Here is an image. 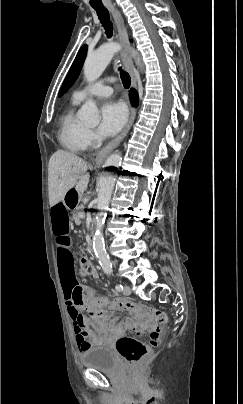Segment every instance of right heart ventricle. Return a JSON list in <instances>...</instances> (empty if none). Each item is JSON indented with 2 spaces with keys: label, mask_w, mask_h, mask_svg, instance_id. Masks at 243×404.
<instances>
[{
  "label": "right heart ventricle",
  "mask_w": 243,
  "mask_h": 404,
  "mask_svg": "<svg viewBox=\"0 0 243 404\" xmlns=\"http://www.w3.org/2000/svg\"><path fill=\"white\" fill-rule=\"evenodd\" d=\"M83 99L78 97L76 91L72 94L69 107L61 114L57 132L60 147L72 154H82L86 151V128L78 121L75 115L76 107Z\"/></svg>",
  "instance_id": "e07e8e85"
}]
</instances>
